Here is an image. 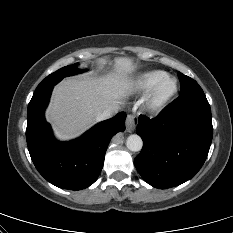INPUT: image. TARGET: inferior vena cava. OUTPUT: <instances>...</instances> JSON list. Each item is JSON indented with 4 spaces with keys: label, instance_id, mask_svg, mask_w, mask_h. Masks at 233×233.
Listing matches in <instances>:
<instances>
[{
    "label": "inferior vena cava",
    "instance_id": "inferior-vena-cava-1",
    "mask_svg": "<svg viewBox=\"0 0 233 233\" xmlns=\"http://www.w3.org/2000/svg\"><path fill=\"white\" fill-rule=\"evenodd\" d=\"M118 112V106H113L110 109L105 110L96 117V121H102L111 118Z\"/></svg>",
    "mask_w": 233,
    "mask_h": 233
}]
</instances>
